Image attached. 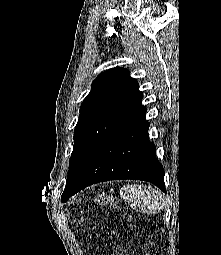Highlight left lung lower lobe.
<instances>
[{"instance_id": "1", "label": "left lung lower lobe", "mask_w": 221, "mask_h": 255, "mask_svg": "<svg viewBox=\"0 0 221 255\" xmlns=\"http://www.w3.org/2000/svg\"><path fill=\"white\" fill-rule=\"evenodd\" d=\"M146 110L141 102L108 133L91 156L70 197L92 184L120 179L149 181L166 192L164 169L156 158L154 143L148 140Z\"/></svg>"}]
</instances>
